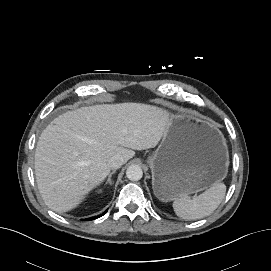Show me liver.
Here are the masks:
<instances>
[{
    "label": "liver",
    "instance_id": "6515ba94",
    "mask_svg": "<svg viewBox=\"0 0 271 271\" xmlns=\"http://www.w3.org/2000/svg\"><path fill=\"white\" fill-rule=\"evenodd\" d=\"M171 116L139 103L97 105L69 111L42 132L35 151V175L45 204L57 213L76 208L110 174L114 155L124 163L134 150L154 148Z\"/></svg>",
    "mask_w": 271,
    "mask_h": 271
}]
</instances>
